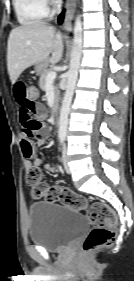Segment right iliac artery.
Here are the masks:
<instances>
[{"instance_id":"right-iliac-artery-1","label":"right iliac artery","mask_w":134,"mask_h":281,"mask_svg":"<svg viewBox=\"0 0 134 281\" xmlns=\"http://www.w3.org/2000/svg\"><path fill=\"white\" fill-rule=\"evenodd\" d=\"M64 139H60L61 144L63 143Z\"/></svg>"}]
</instances>
